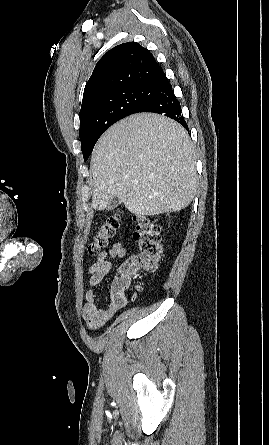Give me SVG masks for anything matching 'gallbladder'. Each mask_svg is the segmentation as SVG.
I'll return each mask as SVG.
<instances>
[{
    "label": "gallbladder",
    "mask_w": 269,
    "mask_h": 445,
    "mask_svg": "<svg viewBox=\"0 0 269 445\" xmlns=\"http://www.w3.org/2000/svg\"><path fill=\"white\" fill-rule=\"evenodd\" d=\"M120 204V199L117 196L112 197V199L109 201V206L107 207V210H113Z\"/></svg>",
    "instance_id": "1"
}]
</instances>
